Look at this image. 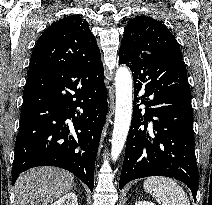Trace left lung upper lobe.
<instances>
[{"label":"left lung upper lobe","instance_id":"5c2ea615","mask_svg":"<svg viewBox=\"0 0 212 205\" xmlns=\"http://www.w3.org/2000/svg\"><path fill=\"white\" fill-rule=\"evenodd\" d=\"M143 53H164L182 58L179 45L161 22L138 16L131 19L125 29L119 50V62H130Z\"/></svg>","mask_w":212,"mask_h":205}]
</instances>
